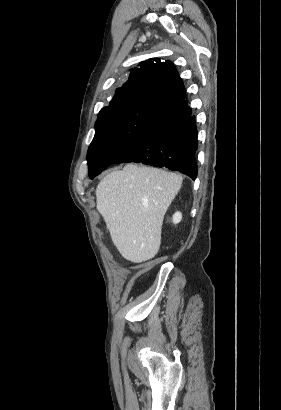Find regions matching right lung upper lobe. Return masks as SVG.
<instances>
[{
    "instance_id": "cb5924a9",
    "label": "right lung upper lobe",
    "mask_w": 281,
    "mask_h": 410,
    "mask_svg": "<svg viewBox=\"0 0 281 410\" xmlns=\"http://www.w3.org/2000/svg\"><path fill=\"white\" fill-rule=\"evenodd\" d=\"M185 97L184 84L175 66L169 61L149 59L141 62L140 68L132 69L127 83L116 90L108 107L143 103L166 110Z\"/></svg>"
}]
</instances>
